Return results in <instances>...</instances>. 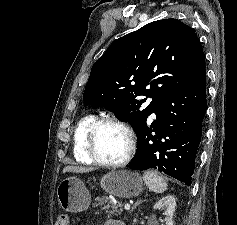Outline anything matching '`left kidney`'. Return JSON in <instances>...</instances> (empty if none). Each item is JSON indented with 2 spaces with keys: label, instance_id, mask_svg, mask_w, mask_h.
I'll return each mask as SVG.
<instances>
[{
  "label": "left kidney",
  "instance_id": "1",
  "mask_svg": "<svg viewBox=\"0 0 237 225\" xmlns=\"http://www.w3.org/2000/svg\"><path fill=\"white\" fill-rule=\"evenodd\" d=\"M175 207H176V201L172 195L165 196L154 205V209L165 210L166 225H173L172 218L175 211Z\"/></svg>",
  "mask_w": 237,
  "mask_h": 225
}]
</instances>
